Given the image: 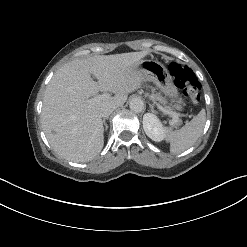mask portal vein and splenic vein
I'll return each instance as SVG.
<instances>
[{
  "label": "portal vein and splenic vein",
  "mask_w": 247,
  "mask_h": 247,
  "mask_svg": "<svg viewBox=\"0 0 247 247\" xmlns=\"http://www.w3.org/2000/svg\"><path fill=\"white\" fill-rule=\"evenodd\" d=\"M109 96H110V95H109L108 93H104V94H102V95H98V96H96V97H94V98H91V99L87 100V102L91 104V103L96 102V101H98V100H102V99L108 98ZM156 105H157V107H158L160 110H162V111L164 112L163 108H162L159 104H156ZM175 117H176V115H175ZM170 123L173 125V124L176 123V120L173 119V120L170 121Z\"/></svg>",
  "instance_id": "portal-vein-and-splenic-vein-1"
}]
</instances>
